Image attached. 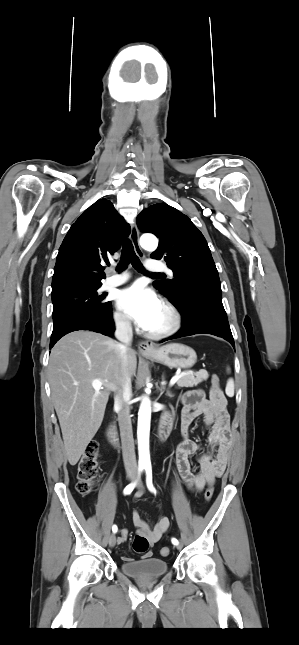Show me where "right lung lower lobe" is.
I'll use <instances>...</instances> for the list:
<instances>
[{"label":"right lung lower lobe","instance_id":"98d812e1","mask_svg":"<svg viewBox=\"0 0 299 645\" xmlns=\"http://www.w3.org/2000/svg\"><path fill=\"white\" fill-rule=\"evenodd\" d=\"M77 330H90L103 335H111L114 330L111 307L106 312L102 313L91 312L79 314L53 328L50 348H52L61 337Z\"/></svg>","mask_w":299,"mask_h":645}]
</instances>
